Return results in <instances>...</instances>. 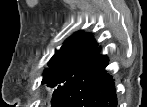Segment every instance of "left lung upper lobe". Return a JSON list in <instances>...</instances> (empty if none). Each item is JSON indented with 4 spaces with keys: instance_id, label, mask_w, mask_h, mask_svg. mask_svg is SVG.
Here are the masks:
<instances>
[{
    "instance_id": "obj_1",
    "label": "left lung upper lobe",
    "mask_w": 147,
    "mask_h": 107,
    "mask_svg": "<svg viewBox=\"0 0 147 107\" xmlns=\"http://www.w3.org/2000/svg\"><path fill=\"white\" fill-rule=\"evenodd\" d=\"M97 49L98 44L92 38V34L78 31L64 42L59 51L55 52L48 63L49 67L44 70L42 80L43 84L51 88L56 87L52 99L59 96L67 83Z\"/></svg>"
}]
</instances>
